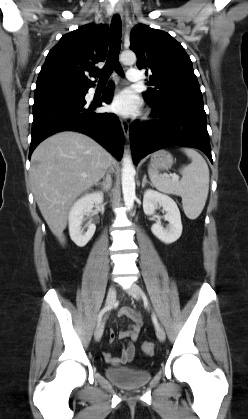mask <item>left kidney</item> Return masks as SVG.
I'll use <instances>...</instances> for the list:
<instances>
[{"mask_svg":"<svg viewBox=\"0 0 248 419\" xmlns=\"http://www.w3.org/2000/svg\"><path fill=\"white\" fill-rule=\"evenodd\" d=\"M158 206L167 213L165 220L169 222L165 229L161 226L160 220L152 225V233L162 242L170 244L179 239L182 234V223L179 208L175 201L168 195L158 191L147 189L143 197V210L146 215H154Z\"/></svg>","mask_w":248,"mask_h":419,"instance_id":"1","label":"left kidney"}]
</instances>
